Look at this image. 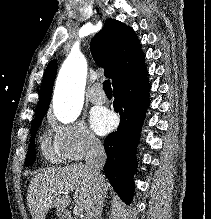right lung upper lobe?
<instances>
[{"label": "right lung upper lobe", "instance_id": "obj_1", "mask_svg": "<svg viewBox=\"0 0 211 219\" xmlns=\"http://www.w3.org/2000/svg\"><path fill=\"white\" fill-rule=\"evenodd\" d=\"M90 49L95 62L104 68V75L112 82L140 65L144 58L133 29L114 19L105 21L102 30L92 39ZM56 71L57 62L53 60L44 73L35 116L45 114L49 107Z\"/></svg>", "mask_w": 211, "mask_h": 219}]
</instances>
